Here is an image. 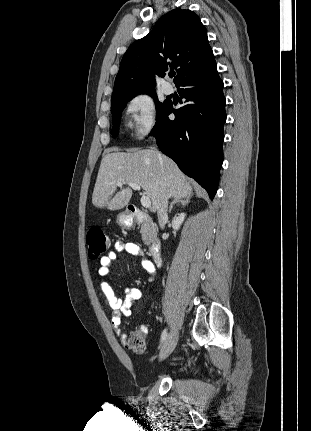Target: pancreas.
Returning <instances> with one entry per match:
<instances>
[{
  "label": "pancreas",
  "instance_id": "1",
  "mask_svg": "<svg viewBox=\"0 0 311 431\" xmlns=\"http://www.w3.org/2000/svg\"><path fill=\"white\" fill-rule=\"evenodd\" d=\"M140 233L145 245H150V243L158 239L156 223H153L151 219H148L146 223H142Z\"/></svg>",
  "mask_w": 311,
  "mask_h": 431
}]
</instances>
